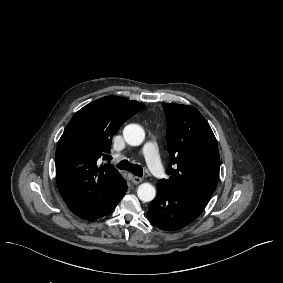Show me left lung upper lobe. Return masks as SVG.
Listing matches in <instances>:
<instances>
[{
  "instance_id": "left-lung-upper-lobe-1",
  "label": "left lung upper lobe",
  "mask_w": 283,
  "mask_h": 283,
  "mask_svg": "<svg viewBox=\"0 0 283 283\" xmlns=\"http://www.w3.org/2000/svg\"><path fill=\"white\" fill-rule=\"evenodd\" d=\"M167 117L168 179L159 185L189 194L206 203L216 189L220 157L216 138L194 107L163 104Z\"/></svg>"
}]
</instances>
